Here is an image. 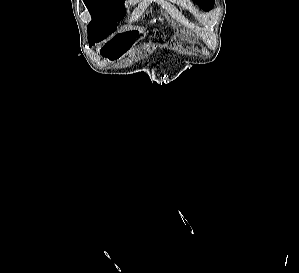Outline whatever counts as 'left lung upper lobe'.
<instances>
[{
    "label": "left lung upper lobe",
    "mask_w": 299,
    "mask_h": 273,
    "mask_svg": "<svg viewBox=\"0 0 299 273\" xmlns=\"http://www.w3.org/2000/svg\"><path fill=\"white\" fill-rule=\"evenodd\" d=\"M197 3L204 11H209L213 8L215 0H193Z\"/></svg>",
    "instance_id": "obj_1"
}]
</instances>
